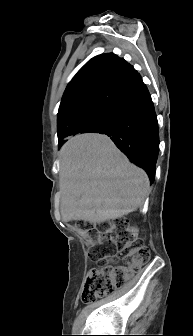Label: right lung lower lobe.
<instances>
[{
	"label": "right lung lower lobe",
	"mask_w": 193,
	"mask_h": 336,
	"mask_svg": "<svg viewBox=\"0 0 193 336\" xmlns=\"http://www.w3.org/2000/svg\"><path fill=\"white\" fill-rule=\"evenodd\" d=\"M97 133L108 135L115 145L143 168L151 183L159 153L158 123L146 85L138 74L113 104Z\"/></svg>",
	"instance_id": "1"
}]
</instances>
